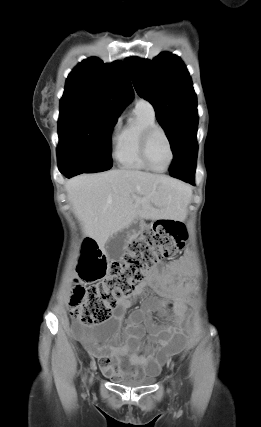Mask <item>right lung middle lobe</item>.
Listing matches in <instances>:
<instances>
[{
  "label": "right lung middle lobe",
  "instance_id": "obj_1",
  "mask_svg": "<svg viewBox=\"0 0 261 427\" xmlns=\"http://www.w3.org/2000/svg\"><path fill=\"white\" fill-rule=\"evenodd\" d=\"M118 116L88 109L60 111L57 148L60 172L109 170L111 132Z\"/></svg>",
  "mask_w": 261,
  "mask_h": 427
}]
</instances>
